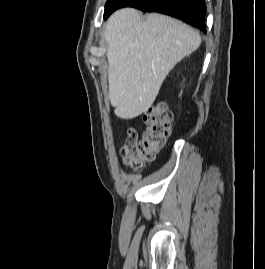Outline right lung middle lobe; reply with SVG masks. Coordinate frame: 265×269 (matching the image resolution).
<instances>
[{"mask_svg":"<svg viewBox=\"0 0 265 269\" xmlns=\"http://www.w3.org/2000/svg\"><path fill=\"white\" fill-rule=\"evenodd\" d=\"M115 0H107V3L105 5V12L104 14L109 10V8L111 7L112 3L114 2Z\"/></svg>","mask_w":265,"mask_h":269,"instance_id":"dd1d6c3e","label":"right lung middle lobe"}]
</instances>
